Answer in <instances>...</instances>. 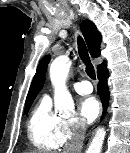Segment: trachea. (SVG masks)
Segmentation results:
<instances>
[{"instance_id": "3493384b", "label": "trachea", "mask_w": 130, "mask_h": 153, "mask_svg": "<svg viewBox=\"0 0 130 153\" xmlns=\"http://www.w3.org/2000/svg\"><path fill=\"white\" fill-rule=\"evenodd\" d=\"M77 41H78L79 55H80L82 61L84 62V64L86 65V73L91 79L95 80L96 79L95 69L90 61V57H89V53H88V49L86 47V44L80 36L78 37Z\"/></svg>"}]
</instances>
